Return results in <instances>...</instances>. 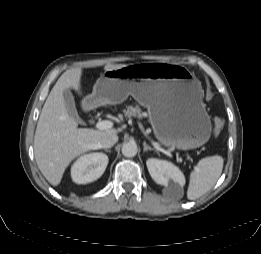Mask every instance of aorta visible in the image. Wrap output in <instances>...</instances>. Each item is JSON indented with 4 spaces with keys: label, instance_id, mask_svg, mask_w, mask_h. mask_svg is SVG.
<instances>
[{
    "label": "aorta",
    "instance_id": "aorta-1",
    "mask_svg": "<svg viewBox=\"0 0 261 254\" xmlns=\"http://www.w3.org/2000/svg\"><path fill=\"white\" fill-rule=\"evenodd\" d=\"M138 148L135 142H127L122 146V154L125 157H134L137 154Z\"/></svg>",
    "mask_w": 261,
    "mask_h": 254
}]
</instances>
